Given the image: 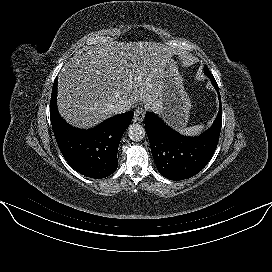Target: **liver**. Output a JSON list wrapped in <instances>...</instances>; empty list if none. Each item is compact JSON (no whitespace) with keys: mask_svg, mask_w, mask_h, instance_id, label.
Returning a JSON list of instances; mask_svg holds the SVG:
<instances>
[{"mask_svg":"<svg viewBox=\"0 0 272 272\" xmlns=\"http://www.w3.org/2000/svg\"><path fill=\"white\" fill-rule=\"evenodd\" d=\"M172 51L155 42H109L74 56L58 79V110L71 125L93 127L113 107L142 101L160 106L163 74Z\"/></svg>","mask_w":272,"mask_h":272,"instance_id":"6515ba94","label":"liver"}]
</instances>
